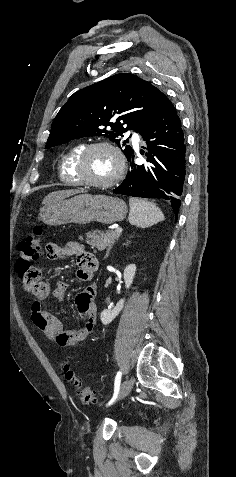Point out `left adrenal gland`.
Here are the masks:
<instances>
[{
  "label": "left adrenal gland",
  "mask_w": 236,
  "mask_h": 477,
  "mask_svg": "<svg viewBox=\"0 0 236 477\" xmlns=\"http://www.w3.org/2000/svg\"><path fill=\"white\" fill-rule=\"evenodd\" d=\"M110 249H111V248L108 249L107 254H106V257L108 256V254H109V252H110Z\"/></svg>",
  "instance_id": "a2214340"
}]
</instances>
